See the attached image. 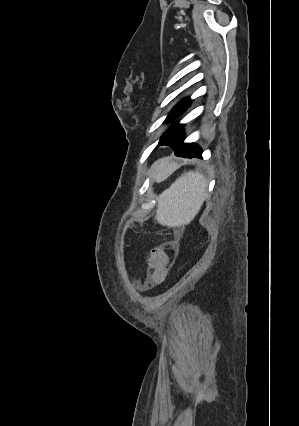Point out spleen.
Returning <instances> with one entry per match:
<instances>
[{"instance_id": "1", "label": "spleen", "mask_w": 299, "mask_h": 426, "mask_svg": "<svg viewBox=\"0 0 299 426\" xmlns=\"http://www.w3.org/2000/svg\"><path fill=\"white\" fill-rule=\"evenodd\" d=\"M206 186V178L198 171L182 174L159 196L156 220L168 227L190 223L203 204Z\"/></svg>"}]
</instances>
